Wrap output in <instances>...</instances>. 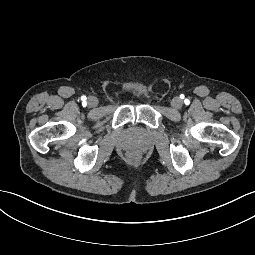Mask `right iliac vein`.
Instances as JSON below:
<instances>
[{"label": "right iliac vein", "instance_id": "right-iliac-vein-1", "mask_svg": "<svg viewBox=\"0 0 255 255\" xmlns=\"http://www.w3.org/2000/svg\"><path fill=\"white\" fill-rule=\"evenodd\" d=\"M87 105L90 107V108H94L98 105V99L94 96H90L87 100Z\"/></svg>", "mask_w": 255, "mask_h": 255}]
</instances>
